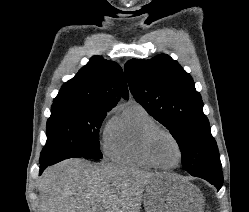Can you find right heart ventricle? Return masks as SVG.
<instances>
[{"instance_id": "1", "label": "right heart ventricle", "mask_w": 249, "mask_h": 212, "mask_svg": "<svg viewBox=\"0 0 249 212\" xmlns=\"http://www.w3.org/2000/svg\"><path fill=\"white\" fill-rule=\"evenodd\" d=\"M158 123L139 103H130L107 126L104 152L113 161L143 169L156 168L146 157L143 141Z\"/></svg>"}]
</instances>
